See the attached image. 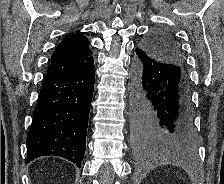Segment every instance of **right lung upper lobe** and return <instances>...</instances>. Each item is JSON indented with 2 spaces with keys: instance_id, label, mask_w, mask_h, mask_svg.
I'll list each match as a JSON object with an SVG mask.
<instances>
[{
  "instance_id": "obj_1",
  "label": "right lung upper lobe",
  "mask_w": 224,
  "mask_h": 184,
  "mask_svg": "<svg viewBox=\"0 0 224 184\" xmlns=\"http://www.w3.org/2000/svg\"><path fill=\"white\" fill-rule=\"evenodd\" d=\"M88 39L80 34L66 36L55 49L47 76L79 71L93 62Z\"/></svg>"
}]
</instances>
